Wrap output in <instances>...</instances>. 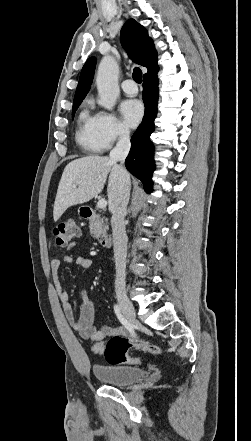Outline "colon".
Segmentation results:
<instances>
[{
  "label": "colon",
  "mask_w": 251,
  "mask_h": 441,
  "mask_svg": "<svg viewBox=\"0 0 251 441\" xmlns=\"http://www.w3.org/2000/svg\"><path fill=\"white\" fill-rule=\"evenodd\" d=\"M79 227L73 221H66L57 225L53 230V236L58 246H66L78 237ZM95 353L101 354L112 365L139 364L141 360L130 356L132 350L148 351L154 356H162L163 348L145 341L129 342L124 337L113 336L106 343L99 342L92 346Z\"/></svg>",
  "instance_id": "obj_1"
}]
</instances>
